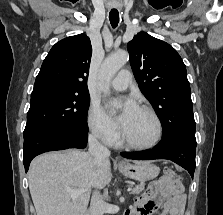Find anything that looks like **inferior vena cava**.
Segmentation results:
<instances>
[{
  "instance_id": "1",
  "label": "inferior vena cava",
  "mask_w": 223,
  "mask_h": 215,
  "mask_svg": "<svg viewBox=\"0 0 223 215\" xmlns=\"http://www.w3.org/2000/svg\"><path fill=\"white\" fill-rule=\"evenodd\" d=\"M89 153L92 157H109L110 151L107 147H104L97 139L96 133H90L88 137ZM105 207V201L101 197L99 191H94L91 197L89 215H103Z\"/></svg>"
}]
</instances>
